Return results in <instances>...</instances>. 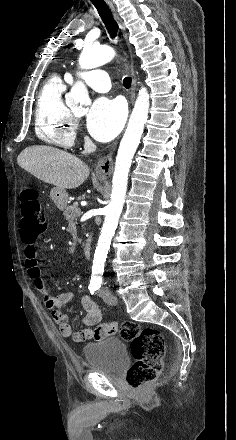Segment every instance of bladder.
Segmentation results:
<instances>
[{"label":"bladder","instance_id":"31cf9c89","mask_svg":"<svg viewBox=\"0 0 236 440\" xmlns=\"http://www.w3.org/2000/svg\"><path fill=\"white\" fill-rule=\"evenodd\" d=\"M83 355L90 370L109 377H118L129 360L126 343L114 336L86 344L83 347Z\"/></svg>","mask_w":236,"mask_h":440}]
</instances>
